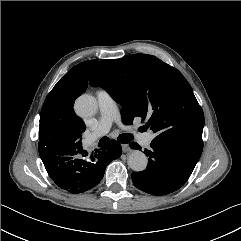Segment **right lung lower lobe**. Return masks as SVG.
<instances>
[{
  "mask_svg": "<svg viewBox=\"0 0 241 241\" xmlns=\"http://www.w3.org/2000/svg\"><path fill=\"white\" fill-rule=\"evenodd\" d=\"M121 153L122 148L115 140H111L107 147L96 150L90 159L84 158L88 153L83 148L62 154L39 151L46 171L55 184L73 194L95 187L103 178L107 165Z\"/></svg>",
  "mask_w": 241,
  "mask_h": 241,
  "instance_id": "right-lung-lower-lobe-1",
  "label": "right lung lower lobe"
}]
</instances>
